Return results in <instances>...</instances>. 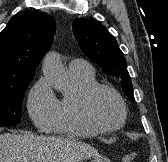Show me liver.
Instances as JSON below:
<instances>
[{
  "label": "liver",
  "instance_id": "1",
  "mask_svg": "<svg viewBox=\"0 0 168 162\" xmlns=\"http://www.w3.org/2000/svg\"><path fill=\"white\" fill-rule=\"evenodd\" d=\"M91 157H99L98 151L75 139L0 134V162H80Z\"/></svg>",
  "mask_w": 168,
  "mask_h": 162
}]
</instances>
